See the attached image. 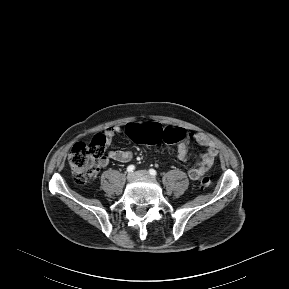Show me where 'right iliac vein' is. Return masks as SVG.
<instances>
[{"label":"right iliac vein","instance_id":"right-iliac-vein-1","mask_svg":"<svg viewBox=\"0 0 289 289\" xmlns=\"http://www.w3.org/2000/svg\"><path fill=\"white\" fill-rule=\"evenodd\" d=\"M136 178H137L136 173L131 172L127 175L128 181H134Z\"/></svg>","mask_w":289,"mask_h":289}]
</instances>
